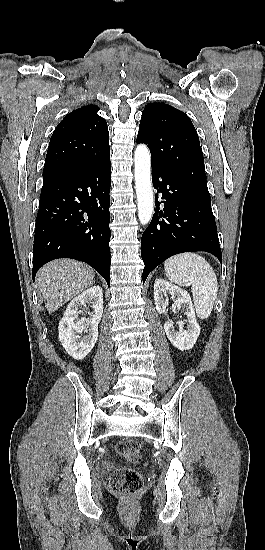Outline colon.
<instances>
[{
    "label": "colon",
    "mask_w": 265,
    "mask_h": 550,
    "mask_svg": "<svg viewBox=\"0 0 265 550\" xmlns=\"http://www.w3.org/2000/svg\"><path fill=\"white\" fill-rule=\"evenodd\" d=\"M115 450L120 457L127 461L133 463L141 461L140 446L134 440L119 442ZM142 484L141 475L131 468H118L112 472L109 478L110 489L122 496L135 495L140 491Z\"/></svg>",
    "instance_id": "1"
}]
</instances>
